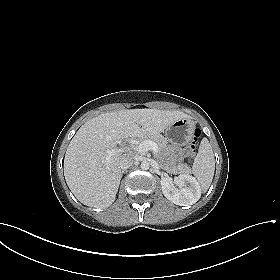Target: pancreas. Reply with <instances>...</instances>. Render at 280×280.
<instances>
[{"mask_svg":"<svg viewBox=\"0 0 280 280\" xmlns=\"http://www.w3.org/2000/svg\"><path fill=\"white\" fill-rule=\"evenodd\" d=\"M146 140H151V141L155 142L160 149L165 148L167 145L166 139L159 134L153 135V136H144V137L140 138L139 141H140V143H142ZM161 166L168 172H172V173H189L190 172V168L187 164H178L177 166H174V167H169L168 165H164V164H161Z\"/></svg>","mask_w":280,"mask_h":280,"instance_id":"pancreas-1","label":"pancreas"}]
</instances>
